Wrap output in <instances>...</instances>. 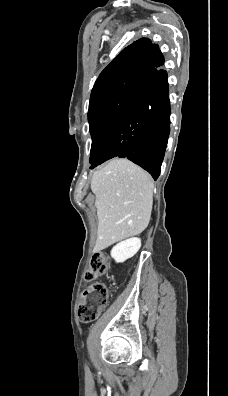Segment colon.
Listing matches in <instances>:
<instances>
[{"label": "colon", "mask_w": 228, "mask_h": 396, "mask_svg": "<svg viewBox=\"0 0 228 396\" xmlns=\"http://www.w3.org/2000/svg\"><path fill=\"white\" fill-rule=\"evenodd\" d=\"M109 263V257L102 252H96L90 258L84 278L93 283L84 290L78 308V317L84 323L95 320L108 304V290L96 280L106 271Z\"/></svg>", "instance_id": "1"}]
</instances>
